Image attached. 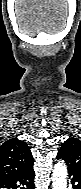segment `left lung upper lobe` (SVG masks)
<instances>
[{
  "label": "left lung upper lobe",
  "mask_w": 81,
  "mask_h": 189,
  "mask_svg": "<svg viewBox=\"0 0 81 189\" xmlns=\"http://www.w3.org/2000/svg\"><path fill=\"white\" fill-rule=\"evenodd\" d=\"M57 155L66 162L68 171L81 176V140L71 136L61 145Z\"/></svg>",
  "instance_id": "left-lung-upper-lobe-1"
}]
</instances>
